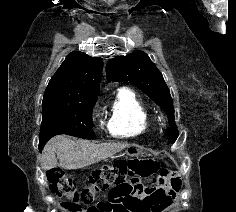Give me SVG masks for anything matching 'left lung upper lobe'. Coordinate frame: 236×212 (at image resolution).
Masks as SVG:
<instances>
[{
	"label": "left lung upper lobe",
	"mask_w": 236,
	"mask_h": 212,
	"mask_svg": "<svg viewBox=\"0 0 236 212\" xmlns=\"http://www.w3.org/2000/svg\"><path fill=\"white\" fill-rule=\"evenodd\" d=\"M106 76L108 81L130 82L165 109L170 125L166 135L173 142L177 139L178 130L174 121V108L169 89L162 73L146 53L138 51L113 58L106 66Z\"/></svg>",
	"instance_id": "obj_1"
}]
</instances>
